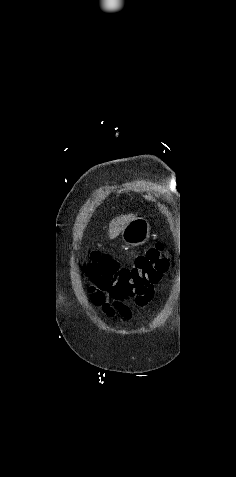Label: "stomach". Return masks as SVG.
Returning <instances> with one entry per match:
<instances>
[{"label": "stomach", "instance_id": "stomach-1", "mask_svg": "<svg viewBox=\"0 0 236 477\" xmlns=\"http://www.w3.org/2000/svg\"><path fill=\"white\" fill-rule=\"evenodd\" d=\"M122 240L128 246H139L150 237V225L144 218H135L122 231Z\"/></svg>", "mask_w": 236, "mask_h": 477}]
</instances>
